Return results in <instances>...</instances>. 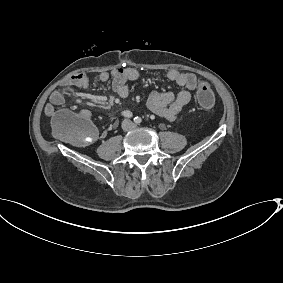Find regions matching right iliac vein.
Segmentation results:
<instances>
[{
  "mask_svg": "<svg viewBox=\"0 0 283 283\" xmlns=\"http://www.w3.org/2000/svg\"><path fill=\"white\" fill-rule=\"evenodd\" d=\"M122 127H123V130L127 131L129 129V127H130L129 122H127V121L124 122Z\"/></svg>",
  "mask_w": 283,
  "mask_h": 283,
  "instance_id": "obj_1",
  "label": "right iliac vein"
}]
</instances>
